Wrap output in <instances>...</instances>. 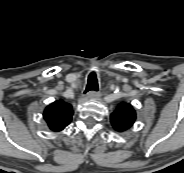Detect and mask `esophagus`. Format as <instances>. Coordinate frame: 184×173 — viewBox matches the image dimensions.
I'll return each instance as SVG.
<instances>
[{
    "instance_id": "34e87169",
    "label": "esophagus",
    "mask_w": 184,
    "mask_h": 173,
    "mask_svg": "<svg viewBox=\"0 0 184 173\" xmlns=\"http://www.w3.org/2000/svg\"><path fill=\"white\" fill-rule=\"evenodd\" d=\"M85 97H86L87 99H98V98L100 97V93L94 92V91H90V92H88V93L85 95Z\"/></svg>"
}]
</instances>
